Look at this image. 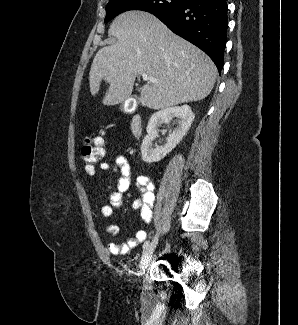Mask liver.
<instances>
[{
	"instance_id": "liver-1",
	"label": "liver",
	"mask_w": 298,
	"mask_h": 325,
	"mask_svg": "<svg viewBox=\"0 0 298 325\" xmlns=\"http://www.w3.org/2000/svg\"><path fill=\"white\" fill-rule=\"evenodd\" d=\"M115 44L99 48L89 72L92 96L107 82L103 104L130 98L137 74L159 82L141 88V106L163 110L181 102L202 100L210 94L217 68L200 48L174 34L159 18L143 10H127L114 18L108 30Z\"/></svg>"
}]
</instances>
